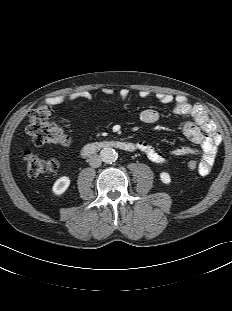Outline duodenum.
Returning <instances> with one entry per match:
<instances>
[{"mask_svg":"<svg viewBox=\"0 0 232 311\" xmlns=\"http://www.w3.org/2000/svg\"><path fill=\"white\" fill-rule=\"evenodd\" d=\"M105 148H115L125 152H133L136 150V145L132 142L118 140H101L98 142L88 143L82 148V155L89 157Z\"/></svg>","mask_w":232,"mask_h":311,"instance_id":"1","label":"duodenum"}]
</instances>
